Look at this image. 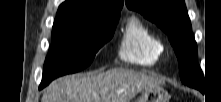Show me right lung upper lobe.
<instances>
[{
	"label": "right lung upper lobe",
	"mask_w": 221,
	"mask_h": 102,
	"mask_svg": "<svg viewBox=\"0 0 221 102\" xmlns=\"http://www.w3.org/2000/svg\"><path fill=\"white\" fill-rule=\"evenodd\" d=\"M123 0H66L57 11V15L72 16H108L120 13Z\"/></svg>",
	"instance_id": "obj_1"
}]
</instances>
